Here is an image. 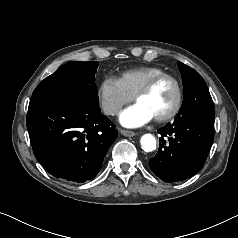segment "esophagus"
I'll return each instance as SVG.
<instances>
[{
	"instance_id": "1",
	"label": "esophagus",
	"mask_w": 238,
	"mask_h": 238,
	"mask_svg": "<svg viewBox=\"0 0 238 238\" xmlns=\"http://www.w3.org/2000/svg\"><path fill=\"white\" fill-rule=\"evenodd\" d=\"M119 131H120V133L122 135L127 136V137H131V136H135L136 135L135 132L129 131V130L120 129Z\"/></svg>"
}]
</instances>
